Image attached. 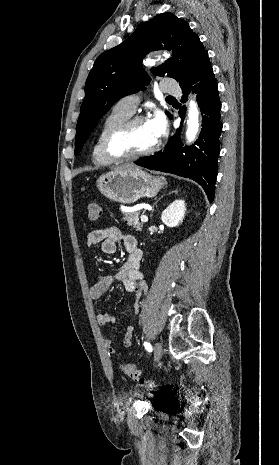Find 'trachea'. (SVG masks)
<instances>
[{"label":"trachea","instance_id":"1","mask_svg":"<svg viewBox=\"0 0 279 465\" xmlns=\"http://www.w3.org/2000/svg\"><path fill=\"white\" fill-rule=\"evenodd\" d=\"M167 99H174V97H172V96H168V97H167Z\"/></svg>","mask_w":279,"mask_h":465}]
</instances>
